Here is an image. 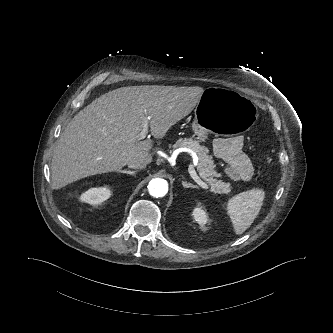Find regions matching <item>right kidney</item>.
<instances>
[{
    "label": "right kidney",
    "instance_id": "1",
    "mask_svg": "<svg viewBox=\"0 0 333 333\" xmlns=\"http://www.w3.org/2000/svg\"><path fill=\"white\" fill-rule=\"evenodd\" d=\"M111 196V191L107 187L91 188L84 192L80 199L91 205L101 204Z\"/></svg>",
    "mask_w": 333,
    "mask_h": 333
}]
</instances>
